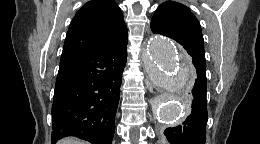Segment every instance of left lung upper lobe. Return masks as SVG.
I'll list each match as a JSON object with an SVG mask.
<instances>
[{
    "mask_svg": "<svg viewBox=\"0 0 260 144\" xmlns=\"http://www.w3.org/2000/svg\"><path fill=\"white\" fill-rule=\"evenodd\" d=\"M151 30L165 35L181 44L186 50L200 52L203 58L194 67L206 71L204 40L197 18L185 5L174 1L162 3L151 19Z\"/></svg>",
    "mask_w": 260,
    "mask_h": 144,
    "instance_id": "1",
    "label": "left lung upper lobe"
}]
</instances>
